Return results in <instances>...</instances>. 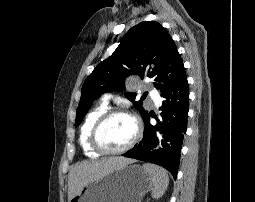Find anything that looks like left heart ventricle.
Listing matches in <instances>:
<instances>
[{"mask_svg": "<svg viewBox=\"0 0 255 202\" xmlns=\"http://www.w3.org/2000/svg\"><path fill=\"white\" fill-rule=\"evenodd\" d=\"M134 132L133 121L127 116L118 115L103 125L99 140L105 148L116 150L124 147L132 139Z\"/></svg>", "mask_w": 255, "mask_h": 202, "instance_id": "left-heart-ventricle-1", "label": "left heart ventricle"}]
</instances>
